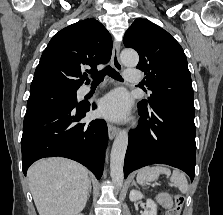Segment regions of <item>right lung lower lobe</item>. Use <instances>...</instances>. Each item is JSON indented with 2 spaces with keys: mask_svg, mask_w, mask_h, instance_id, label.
Segmentation results:
<instances>
[{
  "mask_svg": "<svg viewBox=\"0 0 223 215\" xmlns=\"http://www.w3.org/2000/svg\"><path fill=\"white\" fill-rule=\"evenodd\" d=\"M95 108L93 104L92 109ZM90 109V104L80 103L25 115L21 139L25 176L29 166L38 159L60 156L78 161L100 179L108 142L106 122L95 119L76 124Z\"/></svg>",
  "mask_w": 223,
  "mask_h": 215,
  "instance_id": "1",
  "label": "right lung lower lobe"
}]
</instances>
